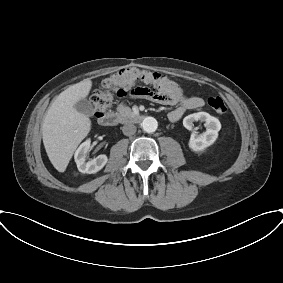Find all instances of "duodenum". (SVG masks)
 <instances>
[{"mask_svg":"<svg viewBox=\"0 0 283 283\" xmlns=\"http://www.w3.org/2000/svg\"><path fill=\"white\" fill-rule=\"evenodd\" d=\"M125 122L140 123L144 120V115L141 113H130L122 118ZM120 117L114 112H106L98 116V122L105 127H113L118 124Z\"/></svg>","mask_w":283,"mask_h":283,"instance_id":"obj_1","label":"duodenum"}]
</instances>
